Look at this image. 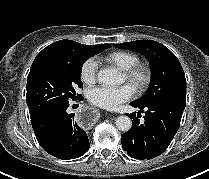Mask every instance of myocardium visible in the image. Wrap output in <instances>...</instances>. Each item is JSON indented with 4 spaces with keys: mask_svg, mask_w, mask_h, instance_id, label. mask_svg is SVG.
Listing matches in <instances>:
<instances>
[{
    "mask_svg": "<svg viewBox=\"0 0 209 179\" xmlns=\"http://www.w3.org/2000/svg\"><path fill=\"white\" fill-rule=\"evenodd\" d=\"M124 77L136 91L143 92L151 83L152 72L147 65L137 63L124 71Z\"/></svg>",
    "mask_w": 209,
    "mask_h": 179,
    "instance_id": "1",
    "label": "myocardium"
}]
</instances>
